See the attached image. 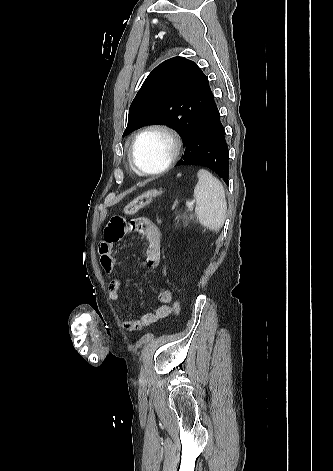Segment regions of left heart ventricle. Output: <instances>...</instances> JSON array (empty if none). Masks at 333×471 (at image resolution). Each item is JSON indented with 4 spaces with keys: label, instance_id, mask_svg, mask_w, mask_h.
Returning a JSON list of instances; mask_svg holds the SVG:
<instances>
[{
    "label": "left heart ventricle",
    "instance_id": "left-heart-ventricle-1",
    "mask_svg": "<svg viewBox=\"0 0 333 471\" xmlns=\"http://www.w3.org/2000/svg\"><path fill=\"white\" fill-rule=\"evenodd\" d=\"M171 153V143L166 135L160 132H149L143 135L135 147V160L145 170L161 168Z\"/></svg>",
    "mask_w": 333,
    "mask_h": 471
}]
</instances>
